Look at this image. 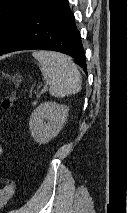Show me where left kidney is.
I'll use <instances>...</instances> for the list:
<instances>
[{"mask_svg":"<svg viewBox=\"0 0 128 213\" xmlns=\"http://www.w3.org/2000/svg\"><path fill=\"white\" fill-rule=\"evenodd\" d=\"M69 107L48 101L40 104L31 114L29 128L31 136L40 144L56 137L64 126Z\"/></svg>","mask_w":128,"mask_h":213,"instance_id":"1","label":"left kidney"}]
</instances>
